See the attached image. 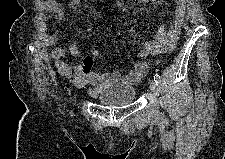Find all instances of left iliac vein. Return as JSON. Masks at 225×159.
I'll return each instance as SVG.
<instances>
[{
	"label": "left iliac vein",
	"instance_id": "left-iliac-vein-1",
	"mask_svg": "<svg viewBox=\"0 0 225 159\" xmlns=\"http://www.w3.org/2000/svg\"><path fill=\"white\" fill-rule=\"evenodd\" d=\"M156 83L155 81H151L150 82V91H151V94L154 95L155 94V91H156Z\"/></svg>",
	"mask_w": 225,
	"mask_h": 159
}]
</instances>
